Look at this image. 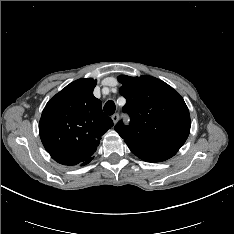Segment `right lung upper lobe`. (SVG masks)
<instances>
[{
    "mask_svg": "<svg viewBox=\"0 0 234 234\" xmlns=\"http://www.w3.org/2000/svg\"><path fill=\"white\" fill-rule=\"evenodd\" d=\"M97 80L85 78L67 85L49 100L40 122L41 141L51 157L63 165H85L101 136L113 126L94 97Z\"/></svg>",
    "mask_w": 234,
    "mask_h": 234,
    "instance_id": "right-lung-upper-lobe-1",
    "label": "right lung upper lobe"
}]
</instances>
